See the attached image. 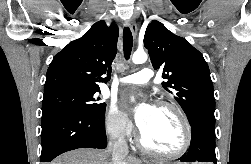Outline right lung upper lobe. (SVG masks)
<instances>
[{
	"label": "right lung upper lobe",
	"mask_w": 251,
	"mask_h": 164,
	"mask_svg": "<svg viewBox=\"0 0 251 164\" xmlns=\"http://www.w3.org/2000/svg\"><path fill=\"white\" fill-rule=\"evenodd\" d=\"M118 26L96 22L81 38L70 42L53 58L44 91L59 87L100 90L98 83L107 82L111 63L117 53Z\"/></svg>",
	"instance_id": "1"
}]
</instances>
